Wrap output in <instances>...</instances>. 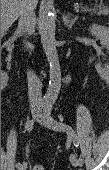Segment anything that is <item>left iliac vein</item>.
Here are the masks:
<instances>
[{"label":"left iliac vein","mask_w":109,"mask_h":170,"mask_svg":"<svg viewBox=\"0 0 109 170\" xmlns=\"http://www.w3.org/2000/svg\"><path fill=\"white\" fill-rule=\"evenodd\" d=\"M37 121L39 123H41L42 125L48 127V128H51V129H54V130H57V131H62V128H59V127H56L55 125H53L48 119L47 117L45 116V114H40L38 115L37 117ZM70 162L73 166H81V164L79 163L77 157L72 154L70 156Z\"/></svg>","instance_id":"1"}]
</instances>
